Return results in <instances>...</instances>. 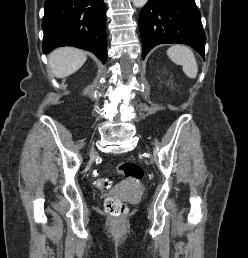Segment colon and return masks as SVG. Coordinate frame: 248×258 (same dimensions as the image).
I'll use <instances>...</instances> for the list:
<instances>
[{
    "label": "colon",
    "mask_w": 248,
    "mask_h": 258,
    "mask_svg": "<svg viewBox=\"0 0 248 258\" xmlns=\"http://www.w3.org/2000/svg\"><path fill=\"white\" fill-rule=\"evenodd\" d=\"M117 171L125 177L132 180H141L144 176L143 168L135 162H121L117 166ZM93 183L101 190H110L112 181L109 178L102 177L98 172L92 175ZM106 211L113 217H122L127 212V205L116 196H109L105 201Z\"/></svg>",
    "instance_id": "obj_1"
}]
</instances>
